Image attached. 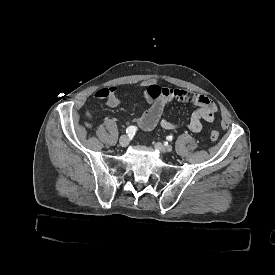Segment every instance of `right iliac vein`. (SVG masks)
Here are the masks:
<instances>
[{"instance_id":"obj_1","label":"right iliac vein","mask_w":275,"mask_h":275,"mask_svg":"<svg viewBox=\"0 0 275 275\" xmlns=\"http://www.w3.org/2000/svg\"><path fill=\"white\" fill-rule=\"evenodd\" d=\"M130 142V137L128 135H122L119 139V144L121 147H126Z\"/></svg>"}]
</instances>
